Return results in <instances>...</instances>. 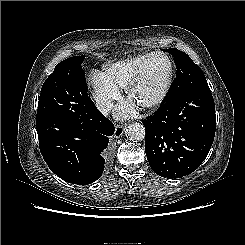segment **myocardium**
<instances>
[{
  "label": "myocardium",
  "instance_id": "obj_1",
  "mask_svg": "<svg viewBox=\"0 0 245 245\" xmlns=\"http://www.w3.org/2000/svg\"><path fill=\"white\" fill-rule=\"evenodd\" d=\"M157 56L163 57L167 60V62H168V74H167L165 83L162 87V90L160 91L158 96L155 99H153L152 101L139 106L142 110H146V111H151V110L157 109L164 102L167 95L169 94V91L171 89L172 82H173V75H174V66H173V62H172L171 58L167 54H165L163 52H159V51L150 53L148 55V57L146 58V60L142 63V65L138 69L137 73L135 74V76L133 77V79L130 81V83L128 84V86L126 88L127 99L129 101H132L133 94H134L136 88L140 85V83L144 77L148 62L150 61L151 58L157 57Z\"/></svg>",
  "mask_w": 245,
  "mask_h": 245
}]
</instances>
